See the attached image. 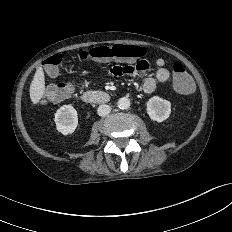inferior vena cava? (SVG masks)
<instances>
[{
	"instance_id": "602c4592",
	"label": "inferior vena cava",
	"mask_w": 232,
	"mask_h": 232,
	"mask_svg": "<svg viewBox=\"0 0 232 232\" xmlns=\"http://www.w3.org/2000/svg\"><path fill=\"white\" fill-rule=\"evenodd\" d=\"M111 111V107L109 105L106 104H102L98 107V115L99 116H107Z\"/></svg>"
}]
</instances>
